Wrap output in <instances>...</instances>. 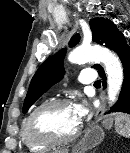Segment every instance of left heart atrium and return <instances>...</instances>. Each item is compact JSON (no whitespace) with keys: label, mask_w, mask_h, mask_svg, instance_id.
<instances>
[{"label":"left heart atrium","mask_w":130,"mask_h":153,"mask_svg":"<svg viewBox=\"0 0 130 153\" xmlns=\"http://www.w3.org/2000/svg\"><path fill=\"white\" fill-rule=\"evenodd\" d=\"M74 114L78 121H81L88 114V105L85 101H78L73 105Z\"/></svg>","instance_id":"1"}]
</instances>
